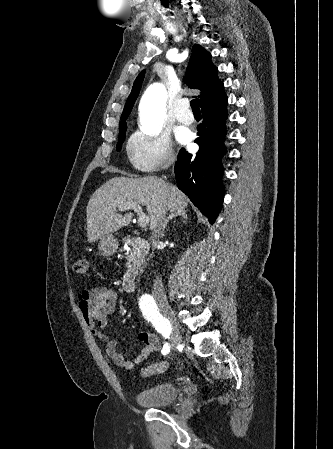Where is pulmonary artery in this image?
Segmentation results:
<instances>
[{"label": "pulmonary artery", "instance_id": "pulmonary-artery-1", "mask_svg": "<svg viewBox=\"0 0 333 449\" xmlns=\"http://www.w3.org/2000/svg\"><path fill=\"white\" fill-rule=\"evenodd\" d=\"M176 119L184 124H191L194 121V116L188 109V104L185 101H180L175 109Z\"/></svg>", "mask_w": 333, "mask_h": 449}]
</instances>
